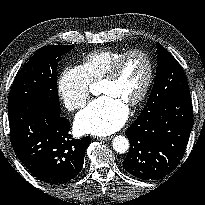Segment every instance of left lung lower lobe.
Here are the masks:
<instances>
[{
	"instance_id": "left-lung-lower-lobe-1",
	"label": "left lung lower lobe",
	"mask_w": 205,
	"mask_h": 205,
	"mask_svg": "<svg viewBox=\"0 0 205 205\" xmlns=\"http://www.w3.org/2000/svg\"><path fill=\"white\" fill-rule=\"evenodd\" d=\"M193 126L190 94L175 96L152 112L141 113L127 129L125 169L143 179H159L177 166Z\"/></svg>"
}]
</instances>
